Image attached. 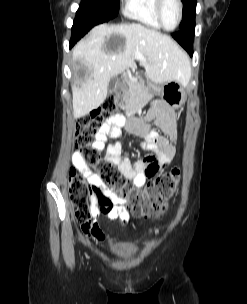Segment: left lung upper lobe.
<instances>
[{"label":"left lung upper lobe","instance_id":"5c2ea615","mask_svg":"<svg viewBox=\"0 0 247 304\" xmlns=\"http://www.w3.org/2000/svg\"><path fill=\"white\" fill-rule=\"evenodd\" d=\"M183 8V20L180 24V29H184L195 25L196 15V0H182Z\"/></svg>","mask_w":247,"mask_h":304}]
</instances>
